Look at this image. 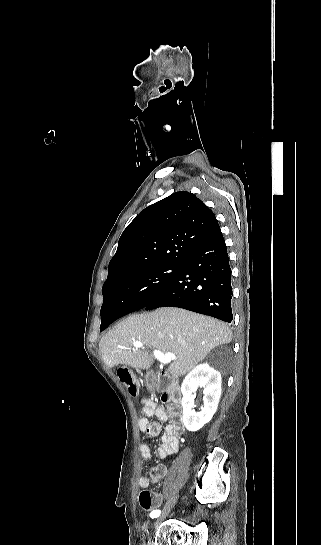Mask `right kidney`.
<instances>
[{"instance_id":"right-kidney-1","label":"right kidney","mask_w":321,"mask_h":545,"mask_svg":"<svg viewBox=\"0 0 321 545\" xmlns=\"http://www.w3.org/2000/svg\"><path fill=\"white\" fill-rule=\"evenodd\" d=\"M198 387H203L204 407L200 413H195L194 397ZM181 393L183 395V423L188 431H199L206 423L211 421L218 409V403L221 397V375L219 371H215L213 367H209L208 363L197 365L191 373L185 377Z\"/></svg>"}]
</instances>
